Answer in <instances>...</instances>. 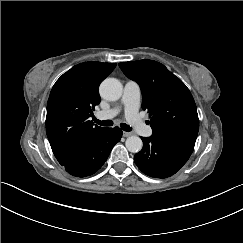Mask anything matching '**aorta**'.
<instances>
[{
	"label": "aorta",
	"instance_id": "762f6f07",
	"mask_svg": "<svg viewBox=\"0 0 243 243\" xmlns=\"http://www.w3.org/2000/svg\"><path fill=\"white\" fill-rule=\"evenodd\" d=\"M122 84L115 78L105 79L99 88L100 96L109 101H116L122 95ZM125 146L128 151L137 153L142 149L143 143L140 137L133 135L126 139Z\"/></svg>",
	"mask_w": 243,
	"mask_h": 243
}]
</instances>
